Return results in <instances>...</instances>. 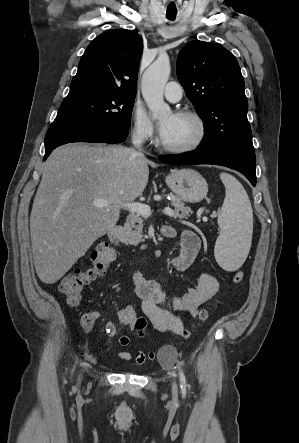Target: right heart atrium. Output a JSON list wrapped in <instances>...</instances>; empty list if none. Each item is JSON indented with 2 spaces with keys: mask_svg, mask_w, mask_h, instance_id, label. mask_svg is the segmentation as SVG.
<instances>
[{
  "mask_svg": "<svg viewBox=\"0 0 299 443\" xmlns=\"http://www.w3.org/2000/svg\"><path fill=\"white\" fill-rule=\"evenodd\" d=\"M131 134L139 144H148L154 138V126L139 104H134L131 110Z\"/></svg>",
  "mask_w": 299,
  "mask_h": 443,
  "instance_id": "d8ad5b80",
  "label": "right heart atrium"
}]
</instances>
